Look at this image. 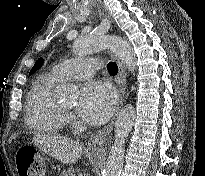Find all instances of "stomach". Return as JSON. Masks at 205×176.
Listing matches in <instances>:
<instances>
[{"instance_id": "stomach-1", "label": "stomach", "mask_w": 205, "mask_h": 176, "mask_svg": "<svg viewBox=\"0 0 205 176\" xmlns=\"http://www.w3.org/2000/svg\"><path fill=\"white\" fill-rule=\"evenodd\" d=\"M74 174H73V171L72 170H69V171H67V172H64L63 174H62V176H73Z\"/></svg>"}]
</instances>
